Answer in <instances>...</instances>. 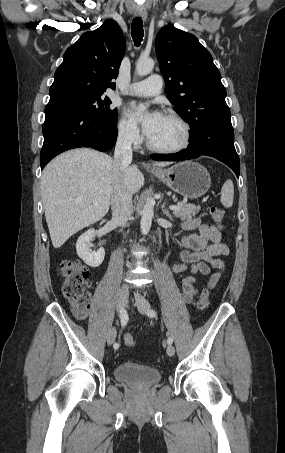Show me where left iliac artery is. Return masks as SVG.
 <instances>
[{
  "label": "left iliac artery",
  "mask_w": 285,
  "mask_h": 453,
  "mask_svg": "<svg viewBox=\"0 0 285 453\" xmlns=\"http://www.w3.org/2000/svg\"><path fill=\"white\" fill-rule=\"evenodd\" d=\"M147 315L149 317L153 318V317H156L157 314H156V312L154 310L150 309V310L147 311ZM172 342H173V339L171 337H169L167 339L168 345L172 344Z\"/></svg>",
  "instance_id": "1"
}]
</instances>
